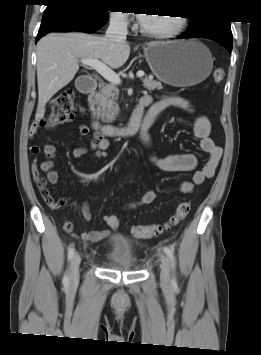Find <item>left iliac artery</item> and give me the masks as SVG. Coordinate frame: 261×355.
Listing matches in <instances>:
<instances>
[{
  "label": "left iliac artery",
  "instance_id": "left-iliac-artery-1",
  "mask_svg": "<svg viewBox=\"0 0 261 355\" xmlns=\"http://www.w3.org/2000/svg\"><path fill=\"white\" fill-rule=\"evenodd\" d=\"M164 252L166 253L168 258L170 259L172 271H173V273H175L176 261H175L173 249H171L170 247L165 246L164 247ZM171 283H172L173 286L177 285V280H176L175 274L173 275Z\"/></svg>",
  "mask_w": 261,
  "mask_h": 355
}]
</instances>
